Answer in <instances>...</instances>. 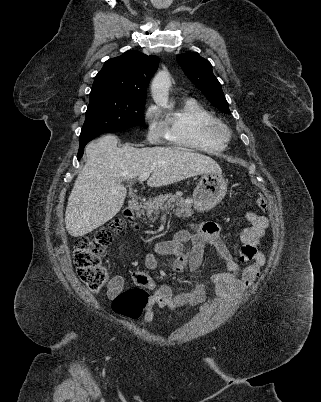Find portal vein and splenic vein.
I'll return each instance as SVG.
<instances>
[{"label":"portal vein and splenic vein","instance_id":"18ae733b","mask_svg":"<svg viewBox=\"0 0 321 402\" xmlns=\"http://www.w3.org/2000/svg\"><path fill=\"white\" fill-rule=\"evenodd\" d=\"M149 176H150V173H149V172L142 173V174L139 176L138 180H139V181H144V180H146Z\"/></svg>","mask_w":321,"mask_h":402}]
</instances>
